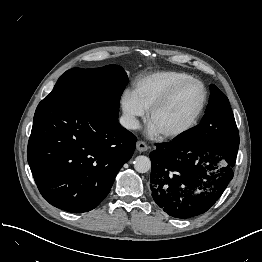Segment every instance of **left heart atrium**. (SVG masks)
Segmentation results:
<instances>
[{"mask_svg":"<svg viewBox=\"0 0 262 262\" xmlns=\"http://www.w3.org/2000/svg\"><path fill=\"white\" fill-rule=\"evenodd\" d=\"M160 134L159 130L151 123L147 129V135L149 137H156Z\"/></svg>","mask_w":262,"mask_h":262,"instance_id":"obj_1","label":"left heart atrium"}]
</instances>
